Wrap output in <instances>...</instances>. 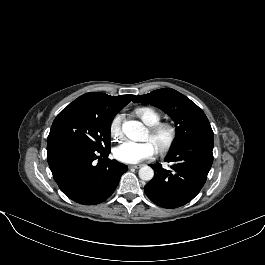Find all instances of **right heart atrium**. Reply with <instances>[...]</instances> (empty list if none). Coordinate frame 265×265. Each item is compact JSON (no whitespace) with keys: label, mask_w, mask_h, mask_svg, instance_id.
I'll use <instances>...</instances> for the list:
<instances>
[{"label":"right heart atrium","mask_w":265,"mask_h":265,"mask_svg":"<svg viewBox=\"0 0 265 265\" xmlns=\"http://www.w3.org/2000/svg\"><path fill=\"white\" fill-rule=\"evenodd\" d=\"M123 115L116 114L110 122L109 131L112 137L119 138L122 136Z\"/></svg>","instance_id":"right-heart-atrium-1"}]
</instances>
